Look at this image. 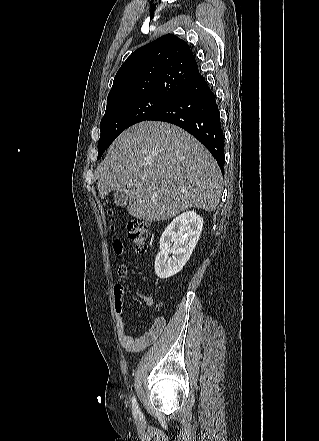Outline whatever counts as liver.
Returning a JSON list of instances; mask_svg holds the SVG:
<instances>
[{"mask_svg":"<svg viewBox=\"0 0 319 441\" xmlns=\"http://www.w3.org/2000/svg\"><path fill=\"white\" fill-rule=\"evenodd\" d=\"M126 185L129 214L152 222L189 208L214 211L222 194V174L192 135L170 123L144 121L122 132L101 164V199Z\"/></svg>","mask_w":319,"mask_h":441,"instance_id":"obj_1","label":"liver"}]
</instances>
